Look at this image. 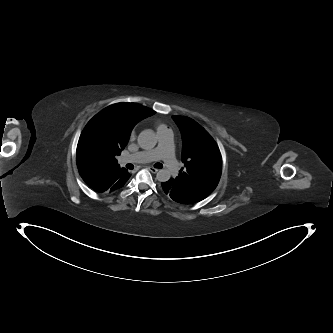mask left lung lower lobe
Segmentation results:
<instances>
[{
  "label": "left lung lower lobe",
  "mask_w": 333,
  "mask_h": 333,
  "mask_svg": "<svg viewBox=\"0 0 333 333\" xmlns=\"http://www.w3.org/2000/svg\"><path fill=\"white\" fill-rule=\"evenodd\" d=\"M161 191L164 195L180 204H194L198 199L191 196L180 186L174 185L172 179L161 183Z\"/></svg>",
  "instance_id": "0a47b994"
}]
</instances>
